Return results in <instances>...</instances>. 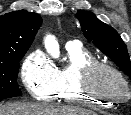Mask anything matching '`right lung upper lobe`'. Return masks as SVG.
Instances as JSON below:
<instances>
[{
    "label": "right lung upper lobe",
    "mask_w": 131,
    "mask_h": 115,
    "mask_svg": "<svg viewBox=\"0 0 131 115\" xmlns=\"http://www.w3.org/2000/svg\"><path fill=\"white\" fill-rule=\"evenodd\" d=\"M42 23L41 17L24 10L0 16V61L16 52L28 50Z\"/></svg>",
    "instance_id": "right-lung-upper-lobe-1"
}]
</instances>
